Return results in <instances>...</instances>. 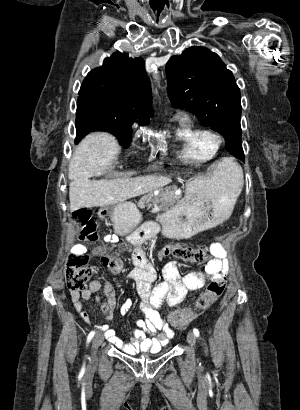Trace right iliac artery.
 <instances>
[{"label":"right iliac artery","instance_id":"82829eb1","mask_svg":"<svg viewBox=\"0 0 300 410\" xmlns=\"http://www.w3.org/2000/svg\"><path fill=\"white\" fill-rule=\"evenodd\" d=\"M94 335H95V331H91V332L88 334L87 343H89V342L91 341V339L93 338Z\"/></svg>","mask_w":300,"mask_h":410}]
</instances>
